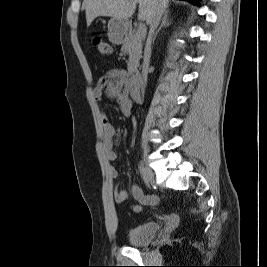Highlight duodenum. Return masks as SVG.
<instances>
[{
	"mask_svg": "<svg viewBox=\"0 0 267 267\" xmlns=\"http://www.w3.org/2000/svg\"><path fill=\"white\" fill-rule=\"evenodd\" d=\"M130 95L135 101L141 99V93L139 88V74L138 72H133L130 79Z\"/></svg>",
	"mask_w": 267,
	"mask_h": 267,
	"instance_id": "1",
	"label": "duodenum"
}]
</instances>
